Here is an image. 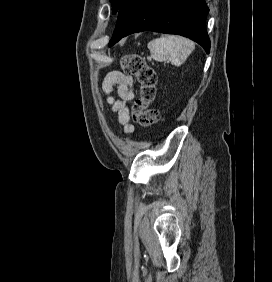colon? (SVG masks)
<instances>
[{
  "label": "colon",
  "instance_id": "5ec220e1",
  "mask_svg": "<svg viewBox=\"0 0 272 282\" xmlns=\"http://www.w3.org/2000/svg\"><path fill=\"white\" fill-rule=\"evenodd\" d=\"M122 70L135 76L139 83V97L132 106V119L139 125L148 126L160 120V113L151 107L156 94V73L139 54H128L121 62Z\"/></svg>",
  "mask_w": 272,
  "mask_h": 282
}]
</instances>
